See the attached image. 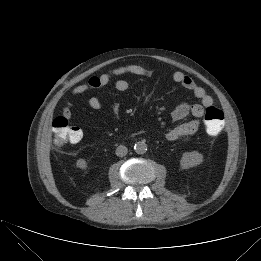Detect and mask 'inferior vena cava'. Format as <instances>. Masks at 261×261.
Returning a JSON list of instances; mask_svg holds the SVG:
<instances>
[{
	"label": "inferior vena cava",
	"mask_w": 261,
	"mask_h": 261,
	"mask_svg": "<svg viewBox=\"0 0 261 261\" xmlns=\"http://www.w3.org/2000/svg\"><path fill=\"white\" fill-rule=\"evenodd\" d=\"M127 152H128L127 147L123 145L118 146L116 149V155L118 157H124L127 154Z\"/></svg>",
	"instance_id": "inferior-vena-cava-1"
}]
</instances>
